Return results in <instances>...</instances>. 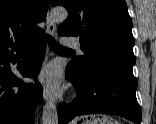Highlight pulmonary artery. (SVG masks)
<instances>
[{"label": "pulmonary artery", "instance_id": "e3ab8cb5", "mask_svg": "<svg viewBox=\"0 0 156 124\" xmlns=\"http://www.w3.org/2000/svg\"><path fill=\"white\" fill-rule=\"evenodd\" d=\"M63 45L64 46L74 47L77 50H79L80 52H82L81 49H80V47H79V45H78V41H77L76 38H65L63 40Z\"/></svg>", "mask_w": 156, "mask_h": 124}]
</instances>
